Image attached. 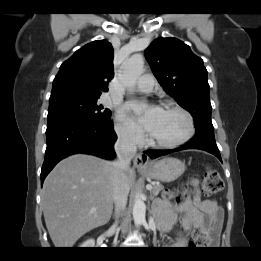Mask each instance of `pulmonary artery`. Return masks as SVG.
I'll list each match as a JSON object with an SVG mask.
<instances>
[{
    "mask_svg": "<svg viewBox=\"0 0 261 261\" xmlns=\"http://www.w3.org/2000/svg\"><path fill=\"white\" fill-rule=\"evenodd\" d=\"M155 86L154 77L150 74H144L136 82V90L141 93H150Z\"/></svg>",
    "mask_w": 261,
    "mask_h": 261,
    "instance_id": "obj_1",
    "label": "pulmonary artery"
}]
</instances>
